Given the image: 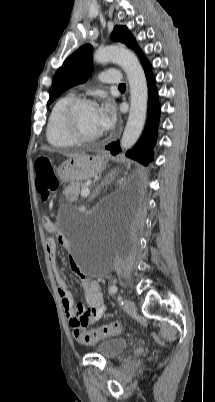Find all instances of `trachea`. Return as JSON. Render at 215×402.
Returning <instances> with one entry per match:
<instances>
[{
    "label": "trachea",
    "instance_id": "1",
    "mask_svg": "<svg viewBox=\"0 0 215 402\" xmlns=\"http://www.w3.org/2000/svg\"><path fill=\"white\" fill-rule=\"evenodd\" d=\"M118 87L119 88H126V85L125 84H120Z\"/></svg>",
    "mask_w": 215,
    "mask_h": 402
}]
</instances>
